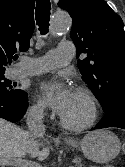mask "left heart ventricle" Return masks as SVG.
I'll use <instances>...</instances> for the list:
<instances>
[{
  "instance_id": "1",
  "label": "left heart ventricle",
  "mask_w": 125,
  "mask_h": 167,
  "mask_svg": "<svg viewBox=\"0 0 125 167\" xmlns=\"http://www.w3.org/2000/svg\"><path fill=\"white\" fill-rule=\"evenodd\" d=\"M91 114V107L86 98L78 92H74V96L63 118L72 124L85 123Z\"/></svg>"
}]
</instances>
